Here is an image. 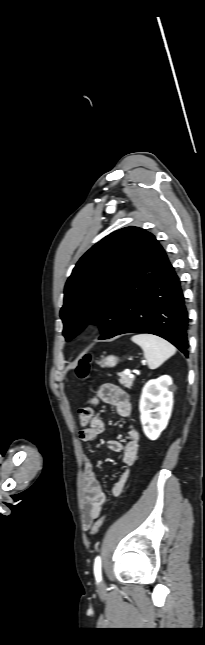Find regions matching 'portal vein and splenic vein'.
Wrapping results in <instances>:
<instances>
[{
  "label": "portal vein and splenic vein",
  "mask_w": 205,
  "mask_h": 645,
  "mask_svg": "<svg viewBox=\"0 0 205 645\" xmlns=\"http://www.w3.org/2000/svg\"><path fill=\"white\" fill-rule=\"evenodd\" d=\"M124 373H125V374H127V375H130V373H131V372H130V370L126 369V370L124 371Z\"/></svg>",
  "instance_id": "obj_1"
}]
</instances>
